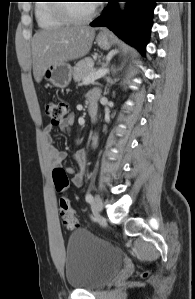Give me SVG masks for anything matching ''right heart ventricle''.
<instances>
[{"instance_id": "obj_1", "label": "right heart ventricle", "mask_w": 195, "mask_h": 299, "mask_svg": "<svg viewBox=\"0 0 195 299\" xmlns=\"http://www.w3.org/2000/svg\"><path fill=\"white\" fill-rule=\"evenodd\" d=\"M54 0H39L35 5L34 14L39 27L58 28L68 24L66 20L55 11Z\"/></svg>"}]
</instances>
